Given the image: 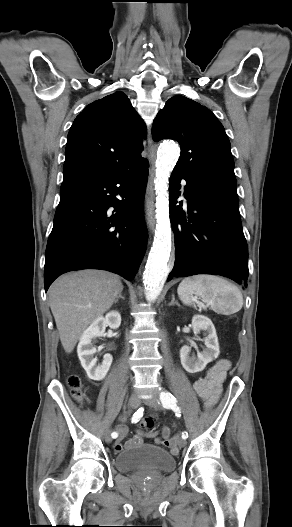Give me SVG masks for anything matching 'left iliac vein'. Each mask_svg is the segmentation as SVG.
Listing matches in <instances>:
<instances>
[{
    "label": "left iliac vein",
    "mask_w": 292,
    "mask_h": 527,
    "mask_svg": "<svg viewBox=\"0 0 292 527\" xmlns=\"http://www.w3.org/2000/svg\"><path fill=\"white\" fill-rule=\"evenodd\" d=\"M145 403L147 405H149L150 407H153L154 409H157V410L162 409L161 403H160L159 398L157 396H153V397L145 400ZM178 445L180 447H184L186 445V440L183 439V438L179 439Z\"/></svg>",
    "instance_id": "4c4485c4"
}]
</instances>
